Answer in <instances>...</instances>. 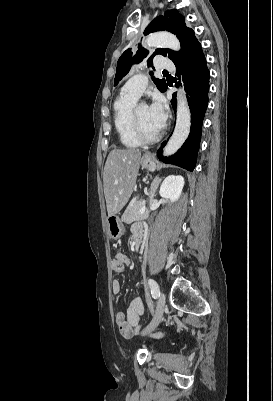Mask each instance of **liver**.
Segmentation results:
<instances>
[{"label": "liver", "instance_id": "liver-1", "mask_svg": "<svg viewBox=\"0 0 273 401\" xmlns=\"http://www.w3.org/2000/svg\"><path fill=\"white\" fill-rule=\"evenodd\" d=\"M140 158L138 148H114L109 152L103 172L108 217L118 215L128 203L136 182Z\"/></svg>", "mask_w": 273, "mask_h": 401}]
</instances>
